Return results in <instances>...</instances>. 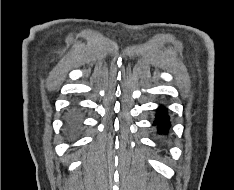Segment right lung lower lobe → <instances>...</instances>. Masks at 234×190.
Masks as SVG:
<instances>
[{"label":"right lung lower lobe","instance_id":"obj_1","mask_svg":"<svg viewBox=\"0 0 234 190\" xmlns=\"http://www.w3.org/2000/svg\"><path fill=\"white\" fill-rule=\"evenodd\" d=\"M81 127V118L76 110H72L66 120V132L69 136L76 135Z\"/></svg>","mask_w":234,"mask_h":190}]
</instances>
